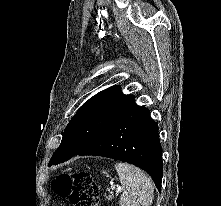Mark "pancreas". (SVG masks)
Segmentation results:
<instances>
[{"mask_svg":"<svg viewBox=\"0 0 221 206\" xmlns=\"http://www.w3.org/2000/svg\"><path fill=\"white\" fill-rule=\"evenodd\" d=\"M106 198L108 199V201H111L114 197H113V195H109Z\"/></svg>","mask_w":221,"mask_h":206,"instance_id":"cf45deb5","label":"pancreas"}]
</instances>
